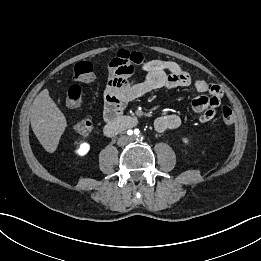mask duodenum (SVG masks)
I'll return each instance as SVG.
<instances>
[{"label":"duodenum","mask_w":261,"mask_h":261,"mask_svg":"<svg viewBox=\"0 0 261 261\" xmlns=\"http://www.w3.org/2000/svg\"><path fill=\"white\" fill-rule=\"evenodd\" d=\"M136 125V120L132 117H120L116 120L108 122L104 126V133L107 136H114L122 133L128 129L133 128Z\"/></svg>","instance_id":"obj_1"}]
</instances>
